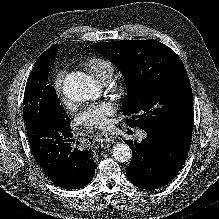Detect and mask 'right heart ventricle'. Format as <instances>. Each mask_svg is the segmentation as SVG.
Segmentation results:
<instances>
[{
    "label": "right heart ventricle",
    "mask_w": 219,
    "mask_h": 219,
    "mask_svg": "<svg viewBox=\"0 0 219 219\" xmlns=\"http://www.w3.org/2000/svg\"><path fill=\"white\" fill-rule=\"evenodd\" d=\"M84 65L98 82L103 78H111L115 71L113 63L103 56H92Z\"/></svg>",
    "instance_id": "right-heart-ventricle-1"
}]
</instances>
